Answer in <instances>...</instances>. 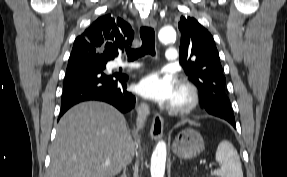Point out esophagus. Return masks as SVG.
Segmentation results:
<instances>
[{
  "label": "esophagus",
  "mask_w": 287,
  "mask_h": 177,
  "mask_svg": "<svg viewBox=\"0 0 287 177\" xmlns=\"http://www.w3.org/2000/svg\"><path fill=\"white\" fill-rule=\"evenodd\" d=\"M143 24L147 27L154 28L157 26V22L153 19V17H147L143 20ZM163 126L164 120L162 116L158 113L153 115L152 125L150 129V136L153 140H158L163 135Z\"/></svg>",
  "instance_id": "34e87169"
}]
</instances>
